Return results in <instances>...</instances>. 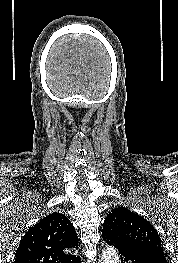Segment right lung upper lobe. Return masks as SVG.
<instances>
[{"instance_id": "right-lung-upper-lobe-1", "label": "right lung upper lobe", "mask_w": 178, "mask_h": 263, "mask_svg": "<svg viewBox=\"0 0 178 263\" xmlns=\"http://www.w3.org/2000/svg\"><path fill=\"white\" fill-rule=\"evenodd\" d=\"M74 226L60 213H51L30 228L20 241L14 263H72L68 252L78 246Z\"/></svg>"}]
</instances>
